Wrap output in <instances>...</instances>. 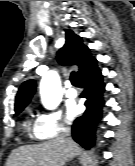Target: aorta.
Masks as SVG:
<instances>
[{"mask_svg":"<svg viewBox=\"0 0 135 166\" xmlns=\"http://www.w3.org/2000/svg\"><path fill=\"white\" fill-rule=\"evenodd\" d=\"M41 102L46 109L52 110L61 102V84L57 73L50 72L40 82Z\"/></svg>","mask_w":135,"mask_h":166,"instance_id":"1","label":"aorta"}]
</instances>
